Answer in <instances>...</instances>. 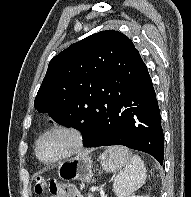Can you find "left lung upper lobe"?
Returning <instances> with one entry per match:
<instances>
[{"mask_svg":"<svg viewBox=\"0 0 191 197\" xmlns=\"http://www.w3.org/2000/svg\"><path fill=\"white\" fill-rule=\"evenodd\" d=\"M146 68L127 36L115 30L95 33L50 61L34 107L84 136L87 116L119 87L124 76Z\"/></svg>","mask_w":191,"mask_h":197,"instance_id":"left-lung-upper-lobe-1","label":"left lung upper lobe"}]
</instances>
